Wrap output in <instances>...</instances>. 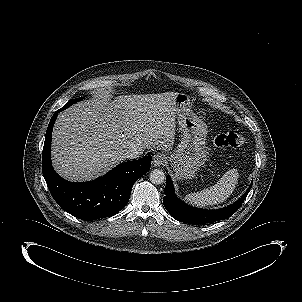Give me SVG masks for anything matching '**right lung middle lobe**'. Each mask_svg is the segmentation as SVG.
<instances>
[{
  "label": "right lung middle lobe",
  "instance_id": "1",
  "mask_svg": "<svg viewBox=\"0 0 302 302\" xmlns=\"http://www.w3.org/2000/svg\"><path fill=\"white\" fill-rule=\"evenodd\" d=\"M81 99H82V97L77 98V99H71L70 101H68V102L61 108V110H64V109L70 107L73 103L78 102V101H80Z\"/></svg>",
  "mask_w": 302,
  "mask_h": 302
}]
</instances>
